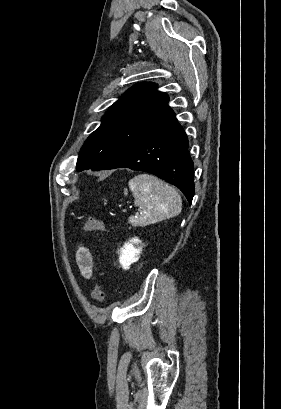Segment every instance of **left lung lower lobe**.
Returning <instances> with one entry per match:
<instances>
[{
	"label": "left lung lower lobe",
	"instance_id": "1",
	"mask_svg": "<svg viewBox=\"0 0 281 409\" xmlns=\"http://www.w3.org/2000/svg\"><path fill=\"white\" fill-rule=\"evenodd\" d=\"M121 167L149 172L168 181L177 186L191 204L194 196L193 162L188 152V138L175 116L99 170Z\"/></svg>",
	"mask_w": 281,
	"mask_h": 409
}]
</instances>
